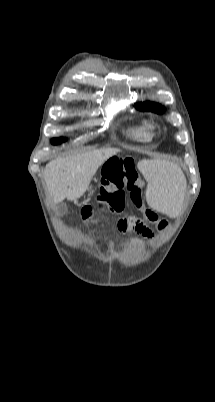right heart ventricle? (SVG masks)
<instances>
[{"label": "right heart ventricle", "mask_w": 215, "mask_h": 402, "mask_svg": "<svg viewBox=\"0 0 215 402\" xmlns=\"http://www.w3.org/2000/svg\"><path fill=\"white\" fill-rule=\"evenodd\" d=\"M125 133L131 139L140 142H147L153 136L152 125L147 120H142L136 124H133L127 128Z\"/></svg>", "instance_id": "right-heart-ventricle-1"}]
</instances>
